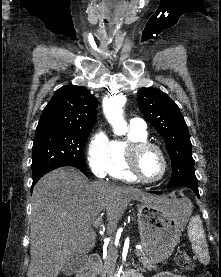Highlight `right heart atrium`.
<instances>
[{"mask_svg": "<svg viewBox=\"0 0 221 277\" xmlns=\"http://www.w3.org/2000/svg\"><path fill=\"white\" fill-rule=\"evenodd\" d=\"M109 146V138L102 129H97L88 142L86 151L87 162L91 171L97 177H103L106 174Z\"/></svg>", "mask_w": 221, "mask_h": 277, "instance_id": "obj_1", "label": "right heart atrium"}]
</instances>
